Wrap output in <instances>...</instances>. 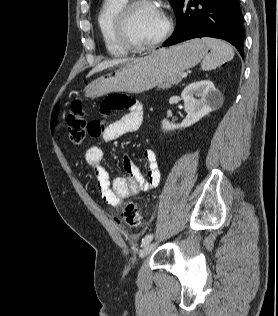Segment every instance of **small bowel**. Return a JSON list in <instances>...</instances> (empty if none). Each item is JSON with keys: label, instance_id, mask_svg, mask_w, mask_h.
Segmentation results:
<instances>
[{"label": "small bowel", "instance_id": "c3829d8e", "mask_svg": "<svg viewBox=\"0 0 278 316\" xmlns=\"http://www.w3.org/2000/svg\"><path fill=\"white\" fill-rule=\"evenodd\" d=\"M110 109H121L126 114L106 126L99 121H93V125L99 128V133L93 136H101L104 140H114L140 128L143 119V105L140 102L124 96H110L103 102L102 110L108 112ZM143 157L147 164L146 175L129 155H124L123 168L126 175L111 180L108 171L102 164L103 151L101 148L92 145L86 149L84 161L94 173L100 196L107 204L117 207L124 199L139 192L149 191L159 184L160 170L156 153L152 149H146Z\"/></svg>", "mask_w": 278, "mask_h": 316}]
</instances>
